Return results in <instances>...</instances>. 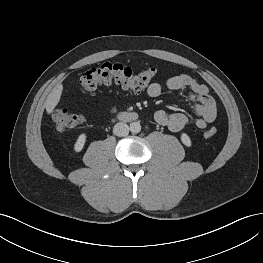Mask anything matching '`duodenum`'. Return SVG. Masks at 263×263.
<instances>
[{
  "label": "duodenum",
  "instance_id": "410a0bca",
  "mask_svg": "<svg viewBox=\"0 0 263 263\" xmlns=\"http://www.w3.org/2000/svg\"><path fill=\"white\" fill-rule=\"evenodd\" d=\"M135 119H137V114L133 112L122 113L118 116L120 121H133Z\"/></svg>",
  "mask_w": 263,
  "mask_h": 263
}]
</instances>
